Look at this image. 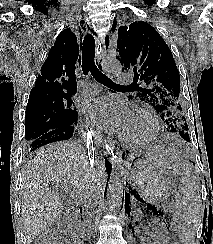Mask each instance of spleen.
I'll list each match as a JSON object with an SVG mask.
<instances>
[{"mask_svg": "<svg viewBox=\"0 0 213 244\" xmlns=\"http://www.w3.org/2000/svg\"><path fill=\"white\" fill-rule=\"evenodd\" d=\"M163 157V166L167 172L180 177V187L174 202L179 239L183 244H194L196 231L202 220L198 178L191 165L183 162L177 155L163 151Z\"/></svg>", "mask_w": 213, "mask_h": 244, "instance_id": "spleen-1", "label": "spleen"}]
</instances>
